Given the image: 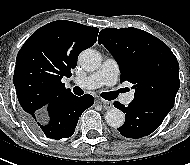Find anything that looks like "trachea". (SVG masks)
<instances>
[{"mask_svg": "<svg viewBox=\"0 0 190 165\" xmlns=\"http://www.w3.org/2000/svg\"><path fill=\"white\" fill-rule=\"evenodd\" d=\"M73 92L76 95H83L84 91L80 87H74ZM101 96L106 100H113L117 97V92H103L101 93Z\"/></svg>", "mask_w": 190, "mask_h": 165, "instance_id": "1", "label": "trachea"}]
</instances>
